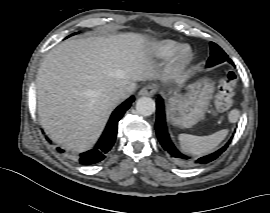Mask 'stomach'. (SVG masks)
<instances>
[{
    "instance_id": "1",
    "label": "stomach",
    "mask_w": 270,
    "mask_h": 213,
    "mask_svg": "<svg viewBox=\"0 0 270 213\" xmlns=\"http://www.w3.org/2000/svg\"><path fill=\"white\" fill-rule=\"evenodd\" d=\"M208 79H200L187 86L185 94L175 92L167 99V113L170 121L181 128H190L204 116L213 92Z\"/></svg>"
}]
</instances>
